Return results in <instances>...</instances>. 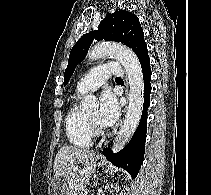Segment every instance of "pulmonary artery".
I'll list each match as a JSON object with an SVG mask.
<instances>
[{"instance_id":"obj_1","label":"pulmonary artery","mask_w":211,"mask_h":195,"mask_svg":"<svg viewBox=\"0 0 211 195\" xmlns=\"http://www.w3.org/2000/svg\"><path fill=\"white\" fill-rule=\"evenodd\" d=\"M111 75H122V68L118 63H107L92 69L77 83L78 93H86L97 90Z\"/></svg>"}]
</instances>
